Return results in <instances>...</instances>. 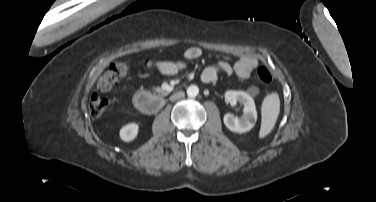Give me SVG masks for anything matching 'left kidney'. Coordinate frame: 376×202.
Instances as JSON below:
<instances>
[{"label": "left kidney", "mask_w": 376, "mask_h": 202, "mask_svg": "<svg viewBox=\"0 0 376 202\" xmlns=\"http://www.w3.org/2000/svg\"><path fill=\"white\" fill-rule=\"evenodd\" d=\"M225 98L231 104L239 102L244 107L241 118L234 117V115L230 113L225 114L223 118L225 126L229 130L238 133L251 130L257 120V111L253 98L243 91H227Z\"/></svg>", "instance_id": "left-kidney-1"}]
</instances>
